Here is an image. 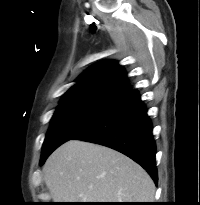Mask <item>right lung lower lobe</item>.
I'll use <instances>...</instances> for the list:
<instances>
[{"label": "right lung lower lobe", "mask_w": 200, "mask_h": 205, "mask_svg": "<svg viewBox=\"0 0 200 205\" xmlns=\"http://www.w3.org/2000/svg\"><path fill=\"white\" fill-rule=\"evenodd\" d=\"M71 139L101 144L127 155L146 169L157 184L152 123L136 90H130L116 100L105 113Z\"/></svg>", "instance_id": "obj_1"}]
</instances>
